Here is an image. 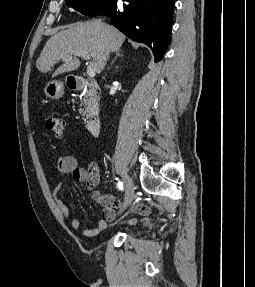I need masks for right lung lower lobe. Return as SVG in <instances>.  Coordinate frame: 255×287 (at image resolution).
Segmentation results:
<instances>
[{
    "mask_svg": "<svg viewBox=\"0 0 255 287\" xmlns=\"http://www.w3.org/2000/svg\"><path fill=\"white\" fill-rule=\"evenodd\" d=\"M122 12L116 7L107 15L112 25L127 37L146 44L155 61L162 59L171 37L174 0H123Z\"/></svg>",
    "mask_w": 255,
    "mask_h": 287,
    "instance_id": "98d812e1",
    "label": "right lung lower lobe"
}]
</instances>
